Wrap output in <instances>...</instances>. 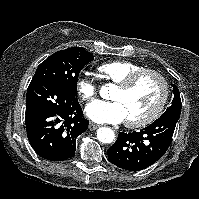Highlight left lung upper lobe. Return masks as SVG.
<instances>
[{
	"mask_svg": "<svg viewBox=\"0 0 199 199\" xmlns=\"http://www.w3.org/2000/svg\"><path fill=\"white\" fill-rule=\"evenodd\" d=\"M173 93H174V98L172 105L169 108H167V110L161 116H174L176 118H180L182 104H181L179 90L174 85H173Z\"/></svg>",
	"mask_w": 199,
	"mask_h": 199,
	"instance_id": "1",
	"label": "left lung upper lobe"
}]
</instances>
